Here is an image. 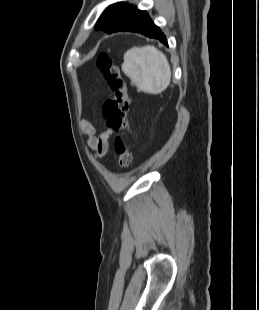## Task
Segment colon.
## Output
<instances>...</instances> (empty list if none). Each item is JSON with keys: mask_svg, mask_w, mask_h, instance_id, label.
I'll return each instance as SVG.
<instances>
[{"mask_svg": "<svg viewBox=\"0 0 259 310\" xmlns=\"http://www.w3.org/2000/svg\"><path fill=\"white\" fill-rule=\"evenodd\" d=\"M97 65L112 92V97L107 99L102 106V116L108 129L117 134L115 149L119 155V165L121 169L127 170L131 167L133 160L128 136L130 96L127 84L119 65L108 54L99 55Z\"/></svg>", "mask_w": 259, "mask_h": 310, "instance_id": "colon-1", "label": "colon"}]
</instances>
